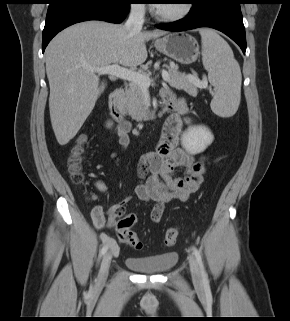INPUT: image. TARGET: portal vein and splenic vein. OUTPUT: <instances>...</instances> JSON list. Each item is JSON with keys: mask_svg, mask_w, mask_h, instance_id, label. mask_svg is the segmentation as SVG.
Listing matches in <instances>:
<instances>
[{"mask_svg": "<svg viewBox=\"0 0 290 321\" xmlns=\"http://www.w3.org/2000/svg\"><path fill=\"white\" fill-rule=\"evenodd\" d=\"M88 69L98 74H107L112 77H118L128 80L144 88L149 87L151 82L153 81L149 76L144 75L141 72H136L128 68L120 67L117 64L102 67H90ZM161 75L164 81L170 82L171 78L169 72L163 69L161 70ZM189 79L196 82L197 85L201 88L207 86L206 79L200 82L194 75H191Z\"/></svg>", "mask_w": 290, "mask_h": 321, "instance_id": "1", "label": "portal vein and splenic vein"}]
</instances>
